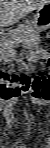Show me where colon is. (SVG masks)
Returning a JSON list of instances; mask_svg holds the SVG:
<instances>
[{
    "instance_id": "colon-1",
    "label": "colon",
    "mask_w": 50,
    "mask_h": 148,
    "mask_svg": "<svg viewBox=\"0 0 50 148\" xmlns=\"http://www.w3.org/2000/svg\"><path fill=\"white\" fill-rule=\"evenodd\" d=\"M0 96L4 100L30 97L35 100L50 99V77L48 74L29 77L26 75L0 73Z\"/></svg>"
}]
</instances>
